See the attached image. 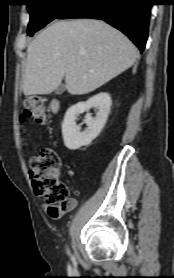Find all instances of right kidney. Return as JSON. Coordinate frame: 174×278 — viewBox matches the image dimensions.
Returning a JSON list of instances; mask_svg holds the SVG:
<instances>
[{
	"instance_id": "1",
	"label": "right kidney",
	"mask_w": 174,
	"mask_h": 278,
	"mask_svg": "<svg viewBox=\"0 0 174 278\" xmlns=\"http://www.w3.org/2000/svg\"><path fill=\"white\" fill-rule=\"evenodd\" d=\"M112 101L108 93L102 92L86 102H79L71 106L64 116L62 123V135L65 146L70 150H77L82 146H88L103 129L108 114L110 112ZM92 107H97L96 117L88 114L85 118L87 128L81 132L80 127L76 125L77 116Z\"/></svg>"
}]
</instances>
